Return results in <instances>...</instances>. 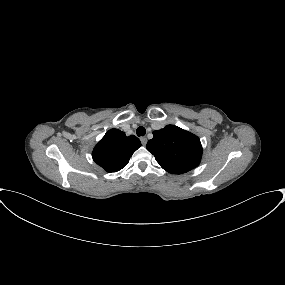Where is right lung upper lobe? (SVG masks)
<instances>
[{
  "label": "right lung upper lobe",
  "instance_id": "1",
  "mask_svg": "<svg viewBox=\"0 0 285 285\" xmlns=\"http://www.w3.org/2000/svg\"><path fill=\"white\" fill-rule=\"evenodd\" d=\"M141 146L134 136H126L118 129L109 130L95 146L93 160L107 172H117L125 167L132 154Z\"/></svg>",
  "mask_w": 285,
  "mask_h": 285
}]
</instances>
